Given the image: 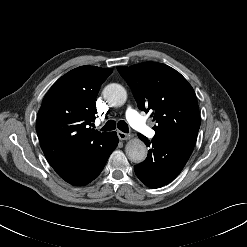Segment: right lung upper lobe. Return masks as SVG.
I'll list each match as a JSON object with an SVG mask.
<instances>
[{"label":"right lung upper lobe","mask_w":247,"mask_h":247,"mask_svg":"<svg viewBox=\"0 0 247 247\" xmlns=\"http://www.w3.org/2000/svg\"><path fill=\"white\" fill-rule=\"evenodd\" d=\"M111 73L112 69L81 66L59 78L46 94L36 131L51 166L111 133L89 127L97 113L95 99L100 86Z\"/></svg>","instance_id":"1"}]
</instances>
